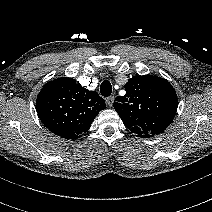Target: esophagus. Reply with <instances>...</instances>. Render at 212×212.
Wrapping results in <instances>:
<instances>
[{
    "instance_id": "1",
    "label": "esophagus",
    "mask_w": 212,
    "mask_h": 212,
    "mask_svg": "<svg viewBox=\"0 0 212 212\" xmlns=\"http://www.w3.org/2000/svg\"><path fill=\"white\" fill-rule=\"evenodd\" d=\"M113 103H114V96H110V97H108L107 99H106V104L108 105V106H112L113 105Z\"/></svg>"
}]
</instances>
